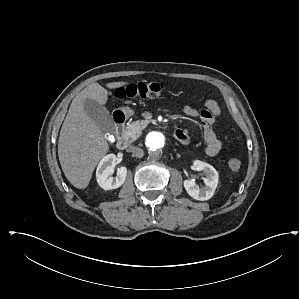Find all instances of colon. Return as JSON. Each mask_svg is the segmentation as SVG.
Here are the masks:
<instances>
[{"label": "colon", "instance_id": "5ec220e1", "mask_svg": "<svg viewBox=\"0 0 299 299\" xmlns=\"http://www.w3.org/2000/svg\"><path fill=\"white\" fill-rule=\"evenodd\" d=\"M162 90L163 85L161 83L138 82L117 88L115 96L119 99L155 98L162 93ZM228 166L231 170H239L241 161L238 158H232L229 160Z\"/></svg>", "mask_w": 299, "mask_h": 299}]
</instances>
